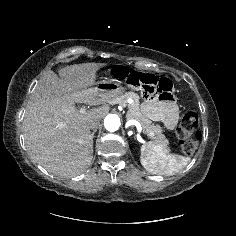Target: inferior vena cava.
Returning <instances> with one entry per match:
<instances>
[{"label": "inferior vena cava", "mask_w": 236, "mask_h": 236, "mask_svg": "<svg viewBox=\"0 0 236 236\" xmlns=\"http://www.w3.org/2000/svg\"><path fill=\"white\" fill-rule=\"evenodd\" d=\"M100 126V121L99 120H90L88 123V127L91 130H97V128Z\"/></svg>", "instance_id": "1"}]
</instances>
